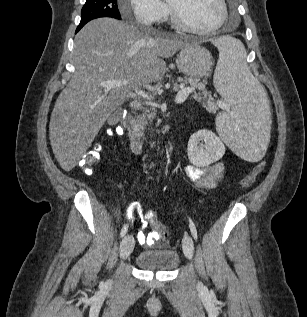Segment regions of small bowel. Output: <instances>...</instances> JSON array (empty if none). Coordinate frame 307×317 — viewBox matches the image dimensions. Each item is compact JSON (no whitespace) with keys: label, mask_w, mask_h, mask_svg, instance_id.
<instances>
[{"label":"small bowel","mask_w":307,"mask_h":317,"mask_svg":"<svg viewBox=\"0 0 307 317\" xmlns=\"http://www.w3.org/2000/svg\"><path fill=\"white\" fill-rule=\"evenodd\" d=\"M225 172V166L223 163L218 162L210 166L197 167V166H186L185 174L187 178L194 183V185L201 190H209L219 183ZM147 227L146 220L142 221V228L137 235V241L144 246H152L158 239L159 235L156 232L146 233Z\"/></svg>","instance_id":"small-bowel-1"}]
</instances>
